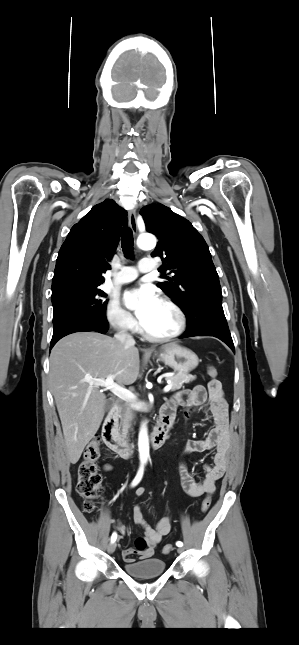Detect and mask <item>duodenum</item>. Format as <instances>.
Here are the masks:
<instances>
[{
	"instance_id": "obj_1",
	"label": "duodenum",
	"mask_w": 299,
	"mask_h": 645,
	"mask_svg": "<svg viewBox=\"0 0 299 645\" xmlns=\"http://www.w3.org/2000/svg\"><path fill=\"white\" fill-rule=\"evenodd\" d=\"M118 418L119 407L114 406L104 422L102 438L104 443L112 451L123 458H129L133 452L132 447L119 433ZM173 420L174 419L169 410L164 406L160 413L159 423L151 435L153 448H159L165 443L172 427Z\"/></svg>"
}]
</instances>
